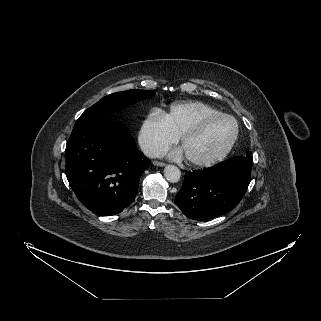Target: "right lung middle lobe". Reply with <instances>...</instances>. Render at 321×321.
<instances>
[{
  "label": "right lung middle lobe",
  "instance_id": "dd1d6c3e",
  "mask_svg": "<svg viewBox=\"0 0 321 321\" xmlns=\"http://www.w3.org/2000/svg\"><path fill=\"white\" fill-rule=\"evenodd\" d=\"M154 94L155 92L151 90L133 89L107 95L96 104L88 108L86 111H84V113L78 118L77 122L105 117L108 114L127 105L150 98Z\"/></svg>",
  "mask_w": 321,
  "mask_h": 321
}]
</instances>
